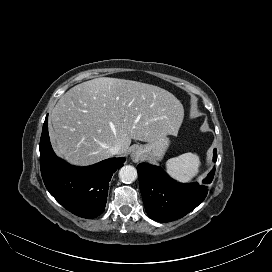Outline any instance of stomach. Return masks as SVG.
Returning <instances> with one entry per match:
<instances>
[{
  "mask_svg": "<svg viewBox=\"0 0 272 272\" xmlns=\"http://www.w3.org/2000/svg\"><path fill=\"white\" fill-rule=\"evenodd\" d=\"M169 145V138L163 136L153 142L140 146V149L149 160L156 162L163 159Z\"/></svg>",
  "mask_w": 272,
  "mask_h": 272,
  "instance_id": "1",
  "label": "stomach"
}]
</instances>
